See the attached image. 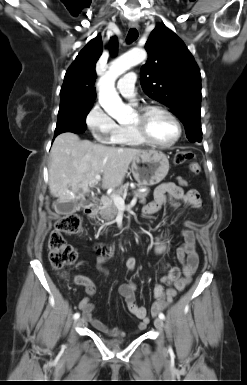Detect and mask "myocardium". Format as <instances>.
I'll return each instance as SVG.
<instances>
[{
  "label": "myocardium",
  "instance_id": "myocardium-1",
  "mask_svg": "<svg viewBox=\"0 0 247 385\" xmlns=\"http://www.w3.org/2000/svg\"><path fill=\"white\" fill-rule=\"evenodd\" d=\"M153 111H159L167 115L175 124L176 127V135L174 139L168 143H159L154 140H152L149 135L146 132L145 129V120L147 116L153 112ZM137 122L135 124H131L130 127L133 130V132L137 135V137L145 144H148L153 147L166 149L174 146L181 138L182 136V125L179 121V119L167 108L160 106V105H146L137 110Z\"/></svg>",
  "mask_w": 247,
  "mask_h": 385
}]
</instances>
